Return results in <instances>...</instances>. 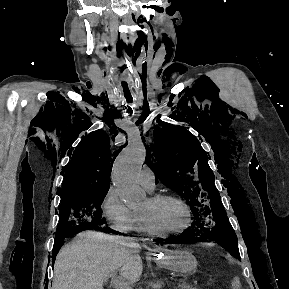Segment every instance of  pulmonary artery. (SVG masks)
I'll list each match as a JSON object with an SVG mask.
<instances>
[{
  "label": "pulmonary artery",
  "mask_w": 289,
  "mask_h": 289,
  "mask_svg": "<svg viewBox=\"0 0 289 289\" xmlns=\"http://www.w3.org/2000/svg\"><path fill=\"white\" fill-rule=\"evenodd\" d=\"M139 183L148 191H153L155 187L154 173L147 167H145L139 174Z\"/></svg>",
  "instance_id": "1"
}]
</instances>
